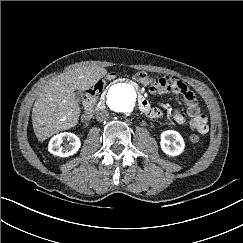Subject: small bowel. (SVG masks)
I'll list each match as a JSON object with an SVG mask.
<instances>
[{
  "label": "small bowel",
  "instance_id": "c3829d8e",
  "mask_svg": "<svg viewBox=\"0 0 243 243\" xmlns=\"http://www.w3.org/2000/svg\"><path fill=\"white\" fill-rule=\"evenodd\" d=\"M163 78L165 84L151 87V92L154 94H179L187 106V114L189 115L190 120L186 119L182 113L175 110L173 112L175 122L179 125H187L199 134H206L209 130L207 117L192 90L184 82L175 77L164 76ZM147 115L151 118H159L162 116V112L158 108H151V111Z\"/></svg>",
  "mask_w": 243,
  "mask_h": 243
}]
</instances>
